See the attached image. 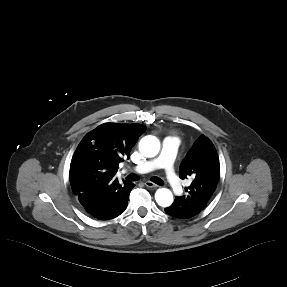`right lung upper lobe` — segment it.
Masks as SVG:
<instances>
[{
	"instance_id": "obj_1",
	"label": "right lung upper lobe",
	"mask_w": 287,
	"mask_h": 287,
	"mask_svg": "<svg viewBox=\"0 0 287 287\" xmlns=\"http://www.w3.org/2000/svg\"><path fill=\"white\" fill-rule=\"evenodd\" d=\"M146 130L142 124L104 123L84 136L70 165V183L74 195H80L91 181L82 179L79 168L83 165L101 166L103 179H112L119 163L130 157V150Z\"/></svg>"
}]
</instances>
